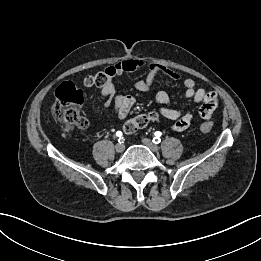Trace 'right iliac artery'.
I'll use <instances>...</instances> for the list:
<instances>
[{
    "label": "right iliac artery",
    "instance_id": "obj_1",
    "mask_svg": "<svg viewBox=\"0 0 261 261\" xmlns=\"http://www.w3.org/2000/svg\"><path fill=\"white\" fill-rule=\"evenodd\" d=\"M116 135L119 137L118 142H119V143H123V142H124V139H123V137H122V132H121V131H117V132H116Z\"/></svg>",
    "mask_w": 261,
    "mask_h": 261
}]
</instances>
